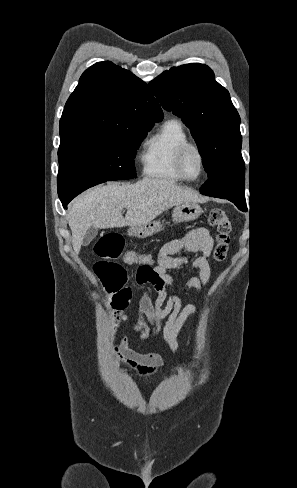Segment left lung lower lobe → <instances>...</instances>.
Instances as JSON below:
<instances>
[{"label": "left lung lower lobe", "mask_w": 297, "mask_h": 488, "mask_svg": "<svg viewBox=\"0 0 297 488\" xmlns=\"http://www.w3.org/2000/svg\"><path fill=\"white\" fill-rule=\"evenodd\" d=\"M235 205L242 211H246L247 209L245 204L236 203Z\"/></svg>", "instance_id": "0a47b994"}]
</instances>
